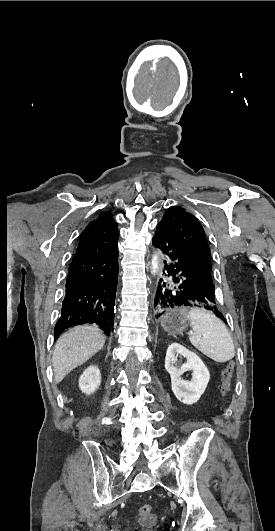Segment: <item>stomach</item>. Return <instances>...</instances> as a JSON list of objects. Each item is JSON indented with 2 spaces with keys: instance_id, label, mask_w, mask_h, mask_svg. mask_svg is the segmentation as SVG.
<instances>
[{
  "instance_id": "obj_1",
  "label": "stomach",
  "mask_w": 275,
  "mask_h": 531,
  "mask_svg": "<svg viewBox=\"0 0 275 531\" xmlns=\"http://www.w3.org/2000/svg\"><path fill=\"white\" fill-rule=\"evenodd\" d=\"M189 321L190 317L187 311H183V309H177L175 311V309H172V311H169V313H166L162 317L161 327L169 335H181L185 331Z\"/></svg>"
}]
</instances>
